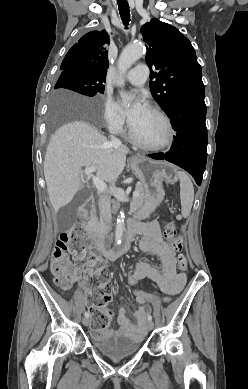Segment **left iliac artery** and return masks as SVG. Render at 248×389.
<instances>
[{
    "label": "left iliac artery",
    "mask_w": 248,
    "mask_h": 389,
    "mask_svg": "<svg viewBox=\"0 0 248 389\" xmlns=\"http://www.w3.org/2000/svg\"><path fill=\"white\" fill-rule=\"evenodd\" d=\"M148 320H149V321L152 320V316H151V315L148 316Z\"/></svg>",
    "instance_id": "44dca946"
}]
</instances>
